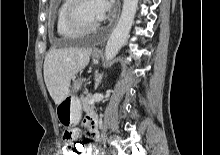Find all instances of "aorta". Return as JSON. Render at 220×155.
Here are the masks:
<instances>
[{
    "mask_svg": "<svg viewBox=\"0 0 220 155\" xmlns=\"http://www.w3.org/2000/svg\"><path fill=\"white\" fill-rule=\"evenodd\" d=\"M138 6V0H124L120 19L113 30L105 48L106 61L112 60L121 47L132 27L134 17Z\"/></svg>",
    "mask_w": 220,
    "mask_h": 155,
    "instance_id": "762f6f07",
    "label": "aorta"
}]
</instances>
